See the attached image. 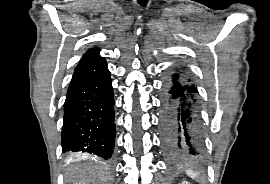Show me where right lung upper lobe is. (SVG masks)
Returning a JSON list of instances; mask_svg holds the SVG:
<instances>
[{
  "label": "right lung upper lobe",
  "mask_w": 270,
  "mask_h": 184,
  "mask_svg": "<svg viewBox=\"0 0 270 184\" xmlns=\"http://www.w3.org/2000/svg\"><path fill=\"white\" fill-rule=\"evenodd\" d=\"M98 59H102V57H100V55H99V49H90L83 55V57L80 60L78 65H81V64H84L87 62H91V61H95Z\"/></svg>",
  "instance_id": "1"
}]
</instances>
